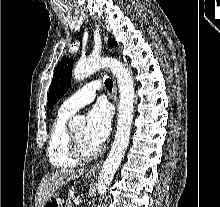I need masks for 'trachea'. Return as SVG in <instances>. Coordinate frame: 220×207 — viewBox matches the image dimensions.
I'll list each match as a JSON object with an SVG mask.
<instances>
[{"label": "trachea", "instance_id": "3493384b", "mask_svg": "<svg viewBox=\"0 0 220 207\" xmlns=\"http://www.w3.org/2000/svg\"><path fill=\"white\" fill-rule=\"evenodd\" d=\"M105 87L107 88L108 91H112L113 82L111 79L107 78L105 80Z\"/></svg>", "mask_w": 220, "mask_h": 207}]
</instances>
